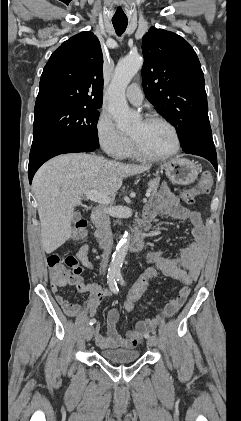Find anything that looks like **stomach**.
<instances>
[{"instance_id": "stomach-1", "label": "stomach", "mask_w": 241, "mask_h": 421, "mask_svg": "<svg viewBox=\"0 0 241 421\" xmlns=\"http://www.w3.org/2000/svg\"><path fill=\"white\" fill-rule=\"evenodd\" d=\"M166 176L176 184L187 185L198 176V167L185 158H175L163 164Z\"/></svg>"}]
</instances>
